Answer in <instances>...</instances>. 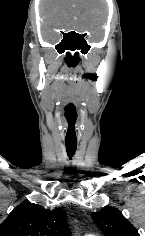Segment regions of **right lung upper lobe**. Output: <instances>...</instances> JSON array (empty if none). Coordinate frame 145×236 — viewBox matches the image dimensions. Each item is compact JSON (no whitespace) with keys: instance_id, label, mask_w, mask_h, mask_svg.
Returning <instances> with one entry per match:
<instances>
[{"instance_id":"obj_1","label":"right lung upper lobe","mask_w":145,"mask_h":236,"mask_svg":"<svg viewBox=\"0 0 145 236\" xmlns=\"http://www.w3.org/2000/svg\"><path fill=\"white\" fill-rule=\"evenodd\" d=\"M0 236H70L66 212L24 202L0 225Z\"/></svg>"}]
</instances>
